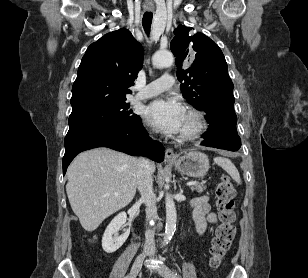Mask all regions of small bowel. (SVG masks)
<instances>
[{
    "instance_id": "obj_1",
    "label": "small bowel",
    "mask_w": 308,
    "mask_h": 278,
    "mask_svg": "<svg viewBox=\"0 0 308 278\" xmlns=\"http://www.w3.org/2000/svg\"><path fill=\"white\" fill-rule=\"evenodd\" d=\"M191 206L197 231L202 235L205 233L208 224L217 222V216L211 211V205L207 196L195 198L192 201Z\"/></svg>"
}]
</instances>
